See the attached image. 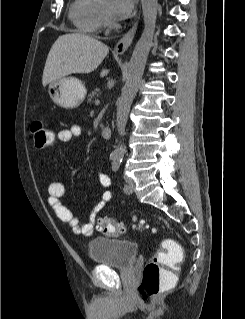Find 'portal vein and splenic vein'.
<instances>
[{
    "label": "portal vein and splenic vein",
    "mask_w": 245,
    "mask_h": 319,
    "mask_svg": "<svg viewBox=\"0 0 245 319\" xmlns=\"http://www.w3.org/2000/svg\"><path fill=\"white\" fill-rule=\"evenodd\" d=\"M100 104V100L99 99H96L95 100V105H99Z\"/></svg>",
    "instance_id": "portal-vein-and-splenic-vein-1"
}]
</instances>
